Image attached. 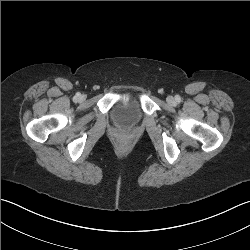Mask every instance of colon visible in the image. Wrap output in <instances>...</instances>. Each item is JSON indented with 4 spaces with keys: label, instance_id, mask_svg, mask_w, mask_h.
<instances>
[{
    "label": "colon",
    "instance_id": "colon-1",
    "mask_svg": "<svg viewBox=\"0 0 250 250\" xmlns=\"http://www.w3.org/2000/svg\"><path fill=\"white\" fill-rule=\"evenodd\" d=\"M118 144H119V146H120L121 148H124V147L127 146V142H125V141H123V140H120V141L118 142Z\"/></svg>",
    "mask_w": 250,
    "mask_h": 250
}]
</instances>
